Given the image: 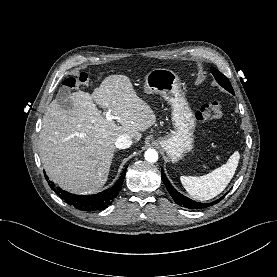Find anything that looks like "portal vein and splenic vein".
Wrapping results in <instances>:
<instances>
[{"label":"portal vein and splenic vein","instance_id":"obj_1","mask_svg":"<svg viewBox=\"0 0 277 277\" xmlns=\"http://www.w3.org/2000/svg\"><path fill=\"white\" fill-rule=\"evenodd\" d=\"M106 118H107V120H109V121H112L113 119L119 120L118 117H115V116H113V115L111 114V111H110V110H106Z\"/></svg>","mask_w":277,"mask_h":277}]
</instances>
